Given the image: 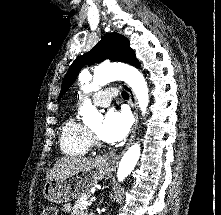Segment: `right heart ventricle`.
Returning a JSON list of instances; mask_svg holds the SVG:
<instances>
[{"mask_svg": "<svg viewBox=\"0 0 221 215\" xmlns=\"http://www.w3.org/2000/svg\"><path fill=\"white\" fill-rule=\"evenodd\" d=\"M92 137L89 128L74 116L63 124L60 134V148L68 155H84L89 152Z\"/></svg>", "mask_w": 221, "mask_h": 215, "instance_id": "right-heart-ventricle-1", "label": "right heart ventricle"}]
</instances>
